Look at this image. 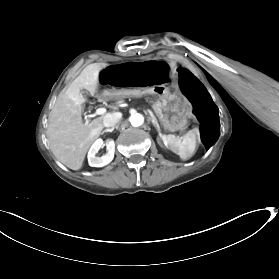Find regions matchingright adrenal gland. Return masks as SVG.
<instances>
[{"label": "right adrenal gland", "instance_id": "2a0ac1e0", "mask_svg": "<svg viewBox=\"0 0 279 279\" xmlns=\"http://www.w3.org/2000/svg\"><path fill=\"white\" fill-rule=\"evenodd\" d=\"M114 130V128H111V129H105V130H103L102 131V134H104L105 132H111V131H113Z\"/></svg>", "mask_w": 279, "mask_h": 279}]
</instances>
